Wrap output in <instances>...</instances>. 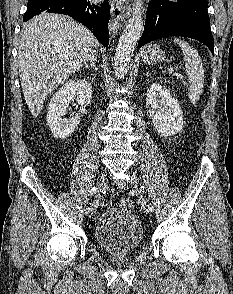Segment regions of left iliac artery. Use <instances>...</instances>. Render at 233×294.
<instances>
[{
	"label": "left iliac artery",
	"instance_id": "obj_1",
	"mask_svg": "<svg viewBox=\"0 0 233 294\" xmlns=\"http://www.w3.org/2000/svg\"><path fill=\"white\" fill-rule=\"evenodd\" d=\"M145 190H146V188H145L144 186H141V187H140V192L144 193ZM148 209H149L151 212L154 210V206H153L152 203H149V204H148Z\"/></svg>",
	"mask_w": 233,
	"mask_h": 294
}]
</instances>
